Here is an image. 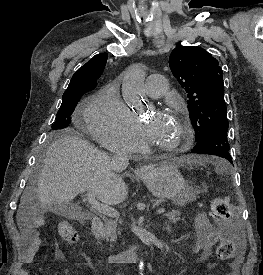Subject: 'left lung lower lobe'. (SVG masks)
<instances>
[{"mask_svg": "<svg viewBox=\"0 0 263 275\" xmlns=\"http://www.w3.org/2000/svg\"><path fill=\"white\" fill-rule=\"evenodd\" d=\"M229 151L227 128H220L198 140L191 153L216 155L232 163Z\"/></svg>", "mask_w": 263, "mask_h": 275, "instance_id": "1", "label": "left lung lower lobe"}]
</instances>
